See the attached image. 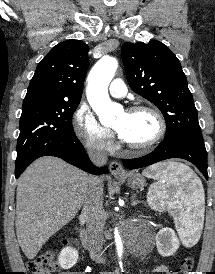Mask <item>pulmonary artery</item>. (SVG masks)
Instances as JSON below:
<instances>
[{
    "label": "pulmonary artery",
    "instance_id": "e3ab8cb5",
    "mask_svg": "<svg viewBox=\"0 0 215 274\" xmlns=\"http://www.w3.org/2000/svg\"><path fill=\"white\" fill-rule=\"evenodd\" d=\"M109 93L116 98L124 97L127 93V87L122 79H114L109 86Z\"/></svg>",
    "mask_w": 215,
    "mask_h": 274
}]
</instances>
